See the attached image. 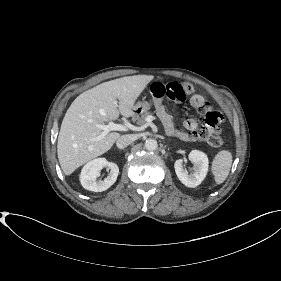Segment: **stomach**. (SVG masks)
Returning <instances> with one entry per match:
<instances>
[{"label":"stomach","mask_w":281,"mask_h":281,"mask_svg":"<svg viewBox=\"0 0 281 281\" xmlns=\"http://www.w3.org/2000/svg\"><path fill=\"white\" fill-rule=\"evenodd\" d=\"M150 109V103L147 101H139L133 108L135 115H141Z\"/></svg>","instance_id":"stomach-1"}]
</instances>
